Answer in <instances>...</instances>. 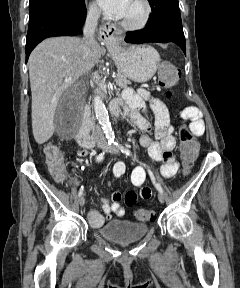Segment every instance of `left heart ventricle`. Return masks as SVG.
<instances>
[{
    "label": "left heart ventricle",
    "mask_w": 240,
    "mask_h": 288,
    "mask_svg": "<svg viewBox=\"0 0 240 288\" xmlns=\"http://www.w3.org/2000/svg\"><path fill=\"white\" fill-rule=\"evenodd\" d=\"M144 12L145 8L140 0H131L127 12L122 19L130 23H136L142 19Z\"/></svg>",
    "instance_id": "1"
}]
</instances>
